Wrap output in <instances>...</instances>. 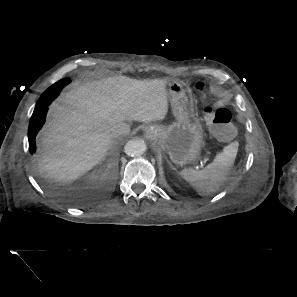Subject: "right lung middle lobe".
I'll return each instance as SVG.
<instances>
[{
    "label": "right lung middle lobe",
    "mask_w": 297,
    "mask_h": 297,
    "mask_svg": "<svg viewBox=\"0 0 297 297\" xmlns=\"http://www.w3.org/2000/svg\"><path fill=\"white\" fill-rule=\"evenodd\" d=\"M70 79L69 78H65V79H62L58 82H56L55 84H53L52 86H50L41 96L40 99H43V100H47V99H55L60 90L65 86L67 85L68 83H70Z\"/></svg>",
    "instance_id": "right-lung-middle-lobe-1"
}]
</instances>
